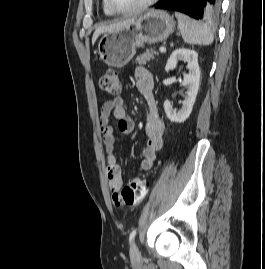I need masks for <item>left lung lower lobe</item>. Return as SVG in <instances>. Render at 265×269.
Here are the masks:
<instances>
[{
  "label": "left lung lower lobe",
  "mask_w": 265,
  "mask_h": 269,
  "mask_svg": "<svg viewBox=\"0 0 265 269\" xmlns=\"http://www.w3.org/2000/svg\"><path fill=\"white\" fill-rule=\"evenodd\" d=\"M221 0H164L156 8L174 10L195 19L215 20L220 13Z\"/></svg>",
  "instance_id": "left-lung-lower-lobe-1"
}]
</instances>
